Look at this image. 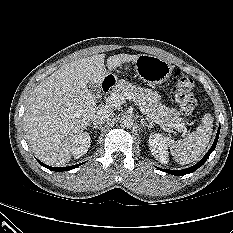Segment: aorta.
Listing matches in <instances>:
<instances>
[{
	"label": "aorta",
	"mask_w": 233,
	"mask_h": 233,
	"mask_svg": "<svg viewBox=\"0 0 233 233\" xmlns=\"http://www.w3.org/2000/svg\"><path fill=\"white\" fill-rule=\"evenodd\" d=\"M119 123L122 128H131L133 126L134 119L130 115H124L120 117Z\"/></svg>",
	"instance_id": "obj_1"
}]
</instances>
